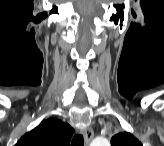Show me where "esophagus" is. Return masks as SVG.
I'll return each mask as SVG.
<instances>
[{"label": "esophagus", "mask_w": 164, "mask_h": 146, "mask_svg": "<svg viewBox=\"0 0 164 146\" xmlns=\"http://www.w3.org/2000/svg\"><path fill=\"white\" fill-rule=\"evenodd\" d=\"M83 135H84L85 144L88 145L94 136V131L91 127H87L83 130Z\"/></svg>", "instance_id": "esophagus-1"}]
</instances>
